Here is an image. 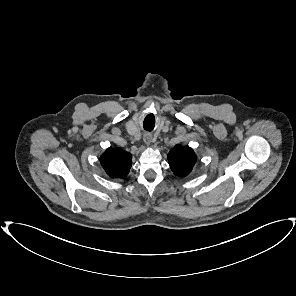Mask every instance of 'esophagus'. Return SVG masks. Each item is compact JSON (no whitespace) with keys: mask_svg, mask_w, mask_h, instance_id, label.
<instances>
[{"mask_svg":"<svg viewBox=\"0 0 296 296\" xmlns=\"http://www.w3.org/2000/svg\"><path fill=\"white\" fill-rule=\"evenodd\" d=\"M143 140L146 145H150L152 142V136L150 134H145Z\"/></svg>","mask_w":296,"mask_h":296,"instance_id":"1","label":"esophagus"}]
</instances>
